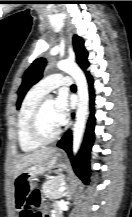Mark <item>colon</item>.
I'll return each mask as SVG.
<instances>
[{"label": "colon", "instance_id": "obj_1", "mask_svg": "<svg viewBox=\"0 0 132 217\" xmlns=\"http://www.w3.org/2000/svg\"><path fill=\"white\" fill-rule=\"evenodd\" d=\"M41 194L38 189L32 190L26 197V204L31 210L32 217H41L40 215Z\"/></svg>", "mask_w": 132, "mask_h": 217}]
</instances>
